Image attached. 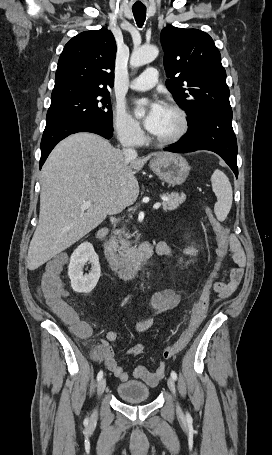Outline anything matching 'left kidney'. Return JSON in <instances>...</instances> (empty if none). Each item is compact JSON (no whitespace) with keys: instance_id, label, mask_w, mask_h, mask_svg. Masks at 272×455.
<instances>
[{"instance_id":"left-kidney-1","label":"left kidney","mask_w":272,"mask_h":455,"mask_svg":"<svg viewBox=\"0 0 272 455\" xmlns=\"http://www.w3.org/2000/svg\"><path fill=\"white\" fill-rule=\"evenodd\" d=\"M196 252H197L196 249H194L193 247L184 250V253L187 255H196Z\"/></svg>"}]
</instances>
